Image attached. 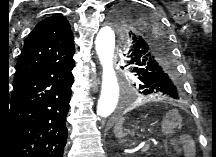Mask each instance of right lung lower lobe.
<instances>
[{"mask_svg": "<svg viewBox=\"0 0 216 157\" xmlns=\"http://www.w3.org/2000/svg\"><path fill=\"white\" fill-rule=\"evenodd\" d=\"M73 57L51 63L14 84L0 123V157H64Z\"/></svg>", "mask_w": 216, "mask_h": 157, "instance_id": "right-lung-lower-lobe-1", "label": "right lung lower lobe"}]
</instances>
